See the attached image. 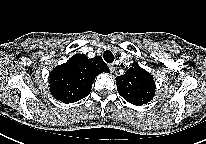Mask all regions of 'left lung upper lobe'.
I'll return each mask as SVG.
<instances>
[{"label":"left lung upper lobe","instance_id":"5c2ea615","mask_svg":"<svg viewBox=\"0 0 206 144\" xmlns=\"http://www.w3.org/2000/svg\"><path fill=\"white\" fill-rule=\"evenodd\" d=\"M118 93L129 103L141 106L152 100L155 94L153 76L136 62L126 73L116 77Z\"/></svg>","mask_w":206,"mask_h":144}]
</instances>
